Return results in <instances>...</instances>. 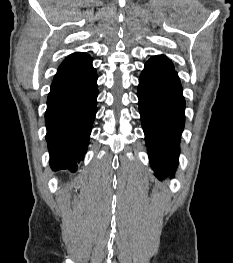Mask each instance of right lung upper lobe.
Returning <instances> with one entry per match:
<instances>
[{"label": "right lung upper lobe", "mask_w": 233, "mask_h": 263, "mask_svg": "<svg viewBox=\"0 0 233 263\" xmlns=\"http://www.w3.org/2000/svg\"><path fill=\"white\" fill-rule=\"evenodd\" d=\"M91 64V57L87 53L76 52L64 59L58 68V72L79 71Z\"/></svg>", "instance_id": "cb5924a9"}]
</instances>
